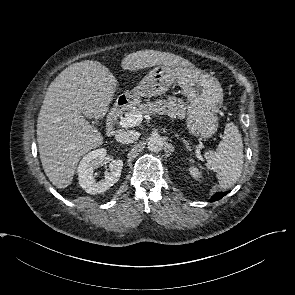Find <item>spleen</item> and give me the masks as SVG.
<instances>
[{
  "instance_id": "spleen-1",
  "label": "spleen",
  "mask_w": 295,
  "mask_h": 295,
  "mask_svg": "<svg viewBox=\"0 0 295 295\" xmlns=\"http://www.w3.org/2000/svg\"><path fill=\"white\" fill-rule=\"evenodd\" d=\"M243 143L238 128L233 123L225 126L222 141L216 151L205 153L206 166L217 173L221 188L233 186L243 169Z\"/></svg>"
}]
</instances>
